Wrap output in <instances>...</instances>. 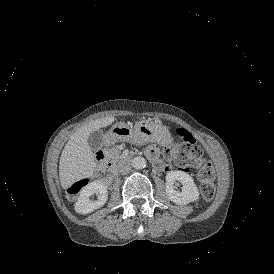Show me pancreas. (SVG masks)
I'll return each instance as SVG.
<instances>
[{"mask_svg":"<svg viewBox=\"0 0 274 274\" xmlns=\"http://www.w3.org/2000/svg\"><path fill=\"white\" fill-rule=\"evenodd\" d=\"M106 156L112 158L114 161V167L117 168L118 165L123 163V158L116 148H106L105 149Z\"/></svg>","mask_w":274,"mask_h":274,"instance_id":"obj_1","label":"pancreas"}]
</instances>
